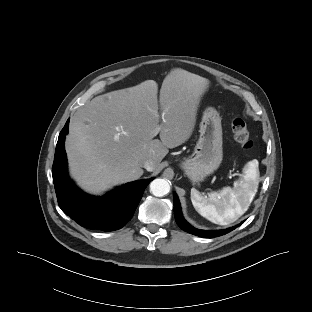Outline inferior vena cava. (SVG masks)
I'll return each mask as SVG.
<instances>
[{
    "mask_svg": "<svg viewBox=\"0 0 312 312\" xmlns=\"http://www.w3.org/2000/svg\"><path fill=\"white\" fill-rule=\"evenodd\" d=\"M141 165L147 171H153L156 168V163L153 160H151V159H147V160L141 161Z\"/></svg>",
    "mask_w": 312,
    "mask_h": 312,
    "instance_id": "obj_1",
    "label": "inferior vena cava"
}]
</instances>
